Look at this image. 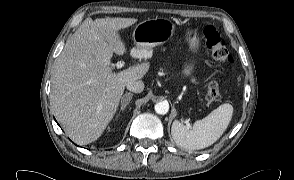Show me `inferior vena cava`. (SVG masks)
<instances>
[{
    "mask_svg": "<svg viewBox=\"0 0 294 180\" xmlns=\"http://www.w3.org/2000/svg\"><path fill=\"white\" fill-rule=\"evenodd\" d=\"M129 91L134 93H141L144 90V83L142 80H131L126 84Z\"/></svg>",
    "mask_w": 294,
    "mask_h": 180,
    "instance_id": "inferior-vena-cava-1",
    "label": "inferior vena cava"
}]
</instances>
